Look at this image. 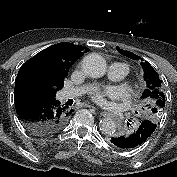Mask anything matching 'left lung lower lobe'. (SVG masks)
<instances>
[{"mask_svg": "<svg viewBox=\"0 0 177 177\" xmlns=\"http://www.w3.org/2000/svg\"><path fill=\"white\" fill-rule=\"evenodd\" d=\"M156 126V123L145 119L131 133L111 138V143L121 149L138 147L151 136Z\"/></svg>", "mask_w": 177, "mask_h": 177, "instance_id": "obj_1", "label": "left lung lower lobe"}]
</instances>
